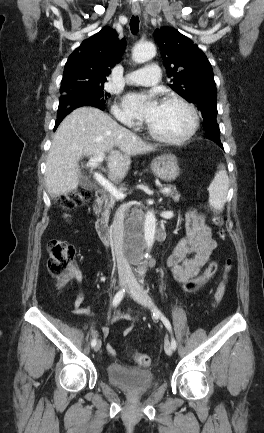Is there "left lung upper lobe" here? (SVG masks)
Here are the masks:
<instances>
[{
  "instance_id": "obj_1",
  "label": "left lung upper lobe",
  "mask_w": 264,
  "mask_h": 433,
  "mask_svg": "<svg viewBox=\"0 0 264 433\" xmlns=\"http://www.w3.org/2000/svg\"><path fill=\"white\" fill-rule=\"evenodd\" d=\"M163 56L169 85L176 93L193 103L204 119L217 116L216 84L213 70L205 54L188 37L171 27L154 32ZM207 138L220 141L219 125L205 126Z\"/></svg>"
}]
</instances>
